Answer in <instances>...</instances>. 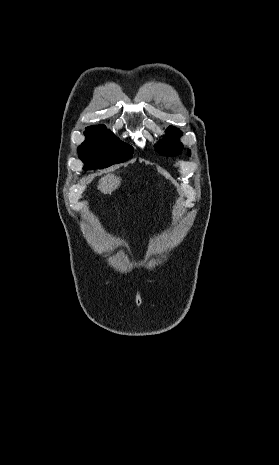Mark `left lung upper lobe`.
I'll list each match as a JSON object with an SVG mask.
<instances>
[{"label":"left lung upper lobe","mask_w":279,"mask_h":465,"mask_svg":"<svg viewBox=\"0 0 279 465\" xmlns=\"http://www.w3.org/2000/svg\"><path fill=\"white\" fill-rule=\"evenodd\" d=\"M166 132L167 137L159 142L156 150L163 155H178L183 149L182 144L178 142L182 133L172 126L168 127ZM188 153L191 154L190 150Z\"/></svg>","instance_id":"obj_1"}]
</instances>
